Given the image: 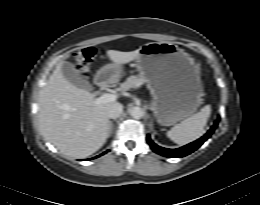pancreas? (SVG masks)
Returning <instances> with one entry per match:
<instances>
[{
    "label": "pancreas",
    "instance_id": "1",
    "mask_svg": "<svg viewBox=\"0 0 260 205\" xmlns=\"http://www.w3.org/2000/svg\"><path fill=\"white\" fill-rule=\"evenodd\" d=\"M142 84V79L137 76H130L124 83L121 84L120 90L127 91L130 88L138 87Z\"/></svg>",
    "mask_w": 260,
    "mask_h": 205
}]
</instances>
